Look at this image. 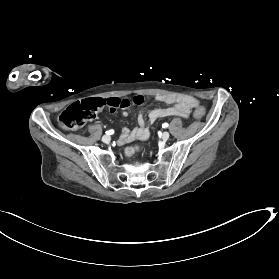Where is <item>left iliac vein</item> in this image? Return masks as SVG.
<instances>
[{
  "label": "left iliac vein",
  "instance_id": "1",
  "mask_svg": "<svg viewBox=\"0 0 279 279\" xmlns=\"http://www.w3.org/2000/svg\"><path fill=\"white\" fill-rule=\"evenodd\" d=\"M169 136H170V134H169V132H167V131H165V132L162 133V139H163V140H168V139H169Z\"/></svg>",
  "mask_w": 279,
  "mask_h": 279
}]
</instances>
